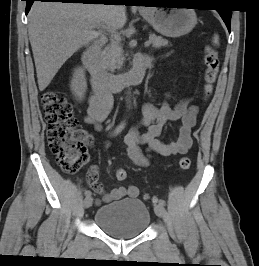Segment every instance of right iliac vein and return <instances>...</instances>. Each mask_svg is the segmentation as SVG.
Here are the masks:
<instances>
[{
	"mask_svg": "<svg viewBox=\"0 0 259 266\" xmlns=\"http://www.w3.org/2000/svg\"><path fill=\"white\" fill-rule=\"evenodd\" d=\"M93 199L92 197H86L84 200V207L89 208L92 205Z\"/></svg>",
	"mask_w": 259,
	"mask_h": 266,
	"instance_id": "63e3f726",
	"label": "right iliac vein"
}]
</instances>
